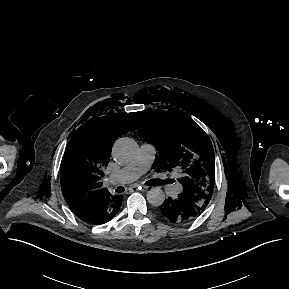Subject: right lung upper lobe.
I'll use <instances>...</instances> for the list:
<instances>
[{
	"instance_id": "right-lung-upper-lobe-1",
	"label": "right lung upper lobe",
	"mask_w": 289,
	"mask_h": 289,
	"mask_svg": "<svg viewBox=\"0 0 289 289\" xmlns=\"http://www.w3.org/2000/svg\"><path fill=\"white\" fill-rule=\"evenodd\" d=\"M134 130L129 114L95 118L81 125L66 147L60 173L65 200L79 218L91 216L106 197L102 188V169L107 166L117 137Z\"/></svg>"
}]
</instances>
